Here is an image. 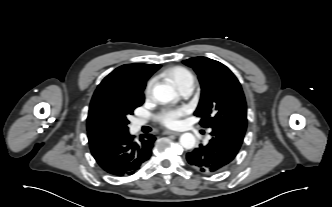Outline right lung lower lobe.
<instances>
[{
	"instance_id": "right-lung-lower-lobe-1",
	"label": "right lung lower lobe",
	"mask_w": 332,
	"mask_h": 207,
	"mask_svg": "<svg viewBox=\"0 0 332 207\" xmlns=\"http://www.w3.org/2000/svg\"><path fill=\"white\" fill-rule=\"evenodd\" d=\"M155 140V136L146 134L135 141L127 130L97 138L89 145L103 170L114 176H127L134 174L150 158Z\"/></svg>"
}]
</instances>
